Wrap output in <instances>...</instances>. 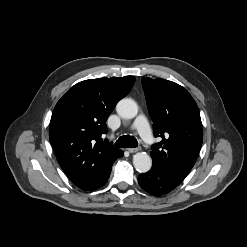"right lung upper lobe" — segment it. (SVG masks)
Returning <instances> with one entry per match:
<instances>
[{
  "label": "right lung upper lobe",
  "instance_id": "right-lung-upper-lobe-1",
  "mask_svg": "<svg viewBox=\"0 0 247 247\" xmlns=\"http://www.w3.org/2000/svg\"><path fill=\"white\" fill-rule=\"evenodd\" d=\"M135 78L89 79L71 87L56 104L49 129L60 166L80 189L99 188L109 177L121 150L101 136L117 102L131 90Z\"/></svg>",
  "mask_w": 247,
  "mask_h": 247
}]
</instances>
